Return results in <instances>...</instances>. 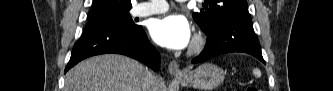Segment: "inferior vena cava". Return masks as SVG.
I'll return each mask as SVG.
<instances>
[{"label": "inferior vena cava", "mask_w": 333, "mask_h": 91, "mask_svg": "<svg viewBox=\"0 0 333 91\" xmlns=\"http://www.w3.org/2000/svg\"><path fill=\"white\" fill-rule=\"evenodd\" d=\"M155 81H156L155 76L148 71L144 79L143 91H154Z\"/></svg>", "instance_id": "1"}]
</instances>
